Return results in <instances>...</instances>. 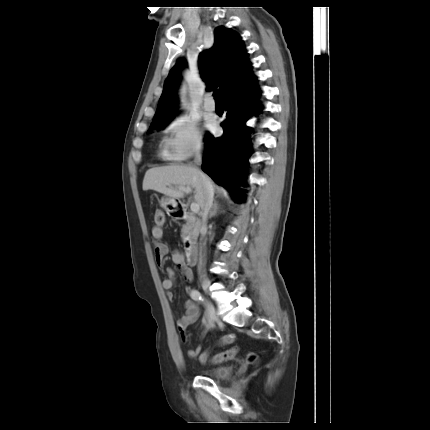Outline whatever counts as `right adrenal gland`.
<instances>
[{
	"mask_svg": "<svg viewBox=\"0 0 430 430\" xmlns=\"http://www.w3.org/2000/svg\"><path fill=\"white\" fill-rule=\"evenodd\" d=\"M218 212H220V206L218 205L217 201H214L212 209L210 210V213H209V219L217 216Z\"/></svg>",
	"mask_w": 430,
	"mask_h": 430,
	"instance_id": "obj_1",
	"label": "right adrenal gland"
}]
</instances>
